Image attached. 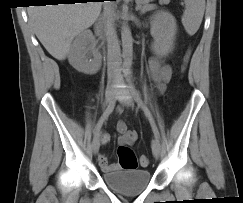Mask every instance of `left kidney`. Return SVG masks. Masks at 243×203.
<instances>
[{
  "label": "left kidney",
  "mask_w": 243,
  "mask_h": 203,
  "mask_svg": "<svg viewBox=\"0 0 243 203\" xmlns=\"http://www.w3.org/2000/svg\"><path fill=\"white\" fill-rule=\"evenodd\" d=\"M177 25L174 17L162 12L151 24V35L154 39L151 48L158 56H166L174 49Z\"/></svg>",
  "instance_id": "5707ae66"
}]
</instances>
